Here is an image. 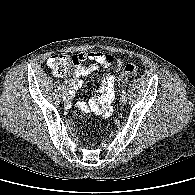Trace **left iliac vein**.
<instances>
[{
	"mask_svg": "<svg viewBox=\"0 0 195 195\" xmlns=\"http://www.w3.org/2000/svg\"><path fill=\"white\" fill-rule=\"evenodd\" d=\"M127 102V96L126 95H122L121 97H120V103L121 104H125Z\"/></svg>",
	"mask_w": 195,
	"mask_h": 195,
	"instance_id": "1",
	"label": "left iliac vein"
}]
</instances>
